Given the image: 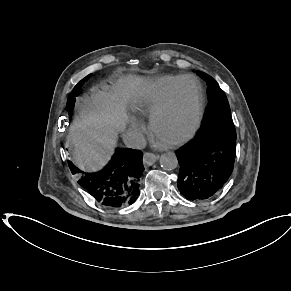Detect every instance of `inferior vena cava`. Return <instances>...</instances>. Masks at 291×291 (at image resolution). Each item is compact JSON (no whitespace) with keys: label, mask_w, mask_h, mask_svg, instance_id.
<instances>
[{"label":"inferior vena cava","mask_w":291,"mask_h":291,"mask_svg":"<svg viewBox=\"0 0 291 291\" xmlns=\"http://www.w3.org/2000/svg\"><path fill=\"white\" fill-rule=\"evenodd\" d=\"M123 142L127 147L134 149H143L146 146V140L140 131L124 134Z\"/></svg>","instance_id":"inferior-vena-cava-1"}]
</instances>
